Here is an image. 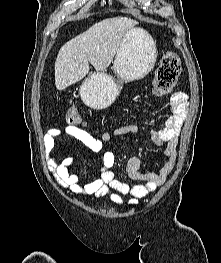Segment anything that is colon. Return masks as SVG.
<instances>
[{
	"instance_id": "1",
	"label": "colon",
	"mask_w": 221,
	"mask_h": 263,
	"mask_svg": "<svg viewBox=\"0 0 221 263\" xmlns=\"http://www.w3.org/2000/svg\"><path fill=\"white\" fill-rule=\"evenodd\" d=\"M181 72V61L176 50L167 51L160 62L154 81L153 95L161 97L168 94L176 84ZM66 120L70 125H78L82 117L78 109L71 105L66 111Z\"/></svg>"
}]
</instances>
